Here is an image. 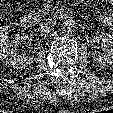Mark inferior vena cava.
Here are the masks:
<instances>
[{"label": "inferior vena cava", "mask_w": 113, "mask_h": 113, "mask_svg": "<svg viewBox=\"0 0 113 113\" xmlns=\"http://www.w3.org/2000/svg\"><path fill=\"white\" fill-rule=\"evenodd\" d=\"M55 25L56 24L53 21H47L45 23H41L38 28V31L40 33H48L54 29Z\"/></svg>", "instance_id": "602c4592"}]
</instances>
